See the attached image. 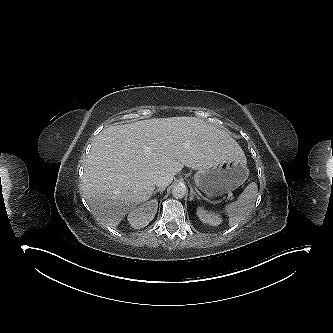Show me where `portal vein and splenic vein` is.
<instances>
[{
    "instance_id": "obj_1",
    "label": "portal vein and splenic vein",
    "mask_w": 333,
    "mask_h": 333,
    "mask_svg": "<svg viewBox=\"0 0 333 333\" xmlns=\"http://www.w3.org/2000/svg\"><path fill=\"white\" fill-rule=\"evenodd\" d=\"M228 196H229V197H232V193H231V192H229V193H228Z\"/></svg>"
}]
</instances>
